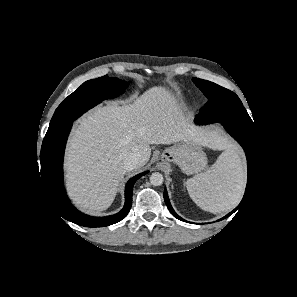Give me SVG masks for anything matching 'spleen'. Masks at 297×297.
<instances>
[{
	"mask_svg": "<svg viewBox=\"0 0 297 297\" xmlns=\"http://www.w3.org/2000/svg\"><path fill=\"white\" fill-rule=\"evenodd\" d=\"M192 200L203 210L212 213L234 208L242 196L245 172L237 148H229L205 172L187 180Z\"/></svg>",
	"mask_w": 297,
	"mask_h": 297,
	"instance_id": "1",
	"label": "spleen"
}]
</instances>
